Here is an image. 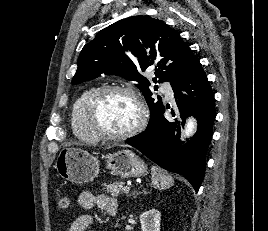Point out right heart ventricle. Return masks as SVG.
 Instances as JSON below:
<instances>
[{"instance_id": "e07e8e85", "label": "right heart ventricle", "mask_w": 268, "mask_h": 231, "mask_svg": "<svg viewBox=\"0 0 268 231\" xmlns=\"http://www.w3.org/2000/svg\"><path fill=\"white\" fill-rule=\"evenodd\" d=\"M97 89L98 87L93 85L83 91V93L73 103L70 110V121L73 133L77 136V138L88 143H93L97 141V139L93 136L86 124L85 108L88 99Z\"/></svg>"}]
</instances>
